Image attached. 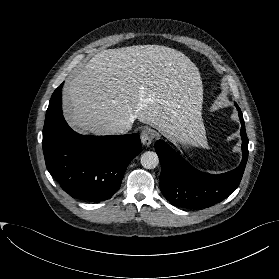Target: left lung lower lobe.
Returning <instances> with one entry per match:
<instances>
[{"label": "left lung lower lobe", "instance_id": "left-lung-lower-lobe-1", "mask_svg": "<svg viewBox=\"0 0 279 279\" xmlns=\"http://www.w3.org/2000/svg\"><path fill=\"white\" fill-rule=\"evenodd\" d=\"M239 118L243 158L236 169L227 173L212 175L200 172L167 143L162 140L156 141L155 150L161 163L160 189L172 205L187 209L211 207L228 197L238 187L248 158V138L241 111Z\"/></svg>", "mask_w": 279, "mask_h": 279}]
</instances>
